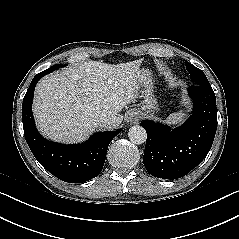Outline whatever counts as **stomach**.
Here are the masks:
<instances>
[{"instance_id":"stomach-1","label":"stomach","mask_w":239,"mask_h":239,"mask_svg":"<svg viewBox=\"0 0 239 239\" xmlns=\"http://www.w3.org/2000/svg\"><path fill=\"white\" fill-rule=\"evenodd\" d=\"M142 87L143 100L134 110H136L140 115H147L148 113L155 112L158 109L157 99L153 95V80L148 71H146V78L142 83Z\"/></svg>"}]
</instances>
